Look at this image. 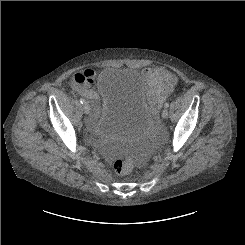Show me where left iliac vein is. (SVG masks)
Segmentation results:
<instances>
[{"instance_id":"left-iliac-vein-1","label":"left iliac vein","mask_w":245,"mask_h":245,"mask_svg":"<svg viewBox=\"0 0 245 245\" xmlns=\"http://www.w3.org/2000/svg\"><path fill=\"white\" fill-rule=\"evenodd\" d=\"M168 116H169L168 110H167V109H164V110L162 111V118L167 119Z\"/></svg>"}]
</instances>
